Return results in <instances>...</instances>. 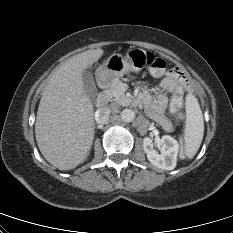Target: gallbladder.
I'll return each instance as SVG.
<instances>
[{"instance_id":"bac80fb5","label":"gallbladder","mask_w":233,"mask_h":233,"mask_svg":"<svg viewBox=\"0 0 233 233\" xmlns=\"http://www.w3.org/2000/svg\"><path fill=\"white\" fill-rule=\"evenodd\" d=\"M82 79L85 93L92 102L95 101L98 91L95 85L93 74L89 70H84L82 73Z\"/></svg>"}]
</instances>
